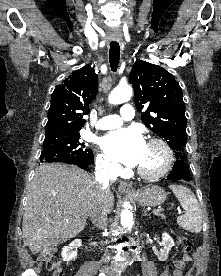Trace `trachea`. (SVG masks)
Instances as JSON below:
<instances>
[{"instance_id":"1","label":"trachea","mask_w":221,"mask_h":276,"mask_svg":"<svg viewBox=\"0 0 221 276\" xmlns=\"http://www.w3.org/2000/svg\"><path fill=\"white\" fill-rule=\"evenodd\" d=\"M120 61V46L117 42L110 43L109 63L112 71H116Z\"/></svg>"}]
</instances>
